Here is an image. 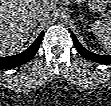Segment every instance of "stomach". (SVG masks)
<instances>
[{
    "label": "stomach",
    "mask_w": 111,
    "mask_h": 106,
    "mask_svg": "<svg viewBox=\"0 0 111 106\" xmlns=\"http://www.w3.org/2000/svg\"><path fill=\"white\" fill-rule=\"evenodd\" d=\"M107 3L106 0H89L87 1V6L91 11L102 12L105 10Z\"/></svg>",
    "instance_id": "stomach-1"
}]
</instances>
